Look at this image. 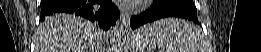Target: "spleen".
<instances>
[{"label":"spleen","mask_w":261,"mask_h":52,"mask_svg":"<svg viewBox=\"0 0 261 52\" xmlns=\"http://www.w3.org/2000/svg\"><path fill=\"white\" fill-rule=\"evenodd\" d=\"M143 28L156 38L160 52H204L200 48V32L188 21L162 19Z\"/></svg>","instance_id":"3e777b00"}]
</instances>
